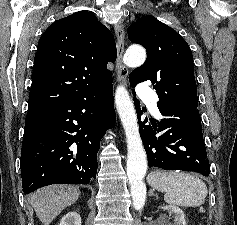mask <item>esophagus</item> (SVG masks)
<instances>
[{
  "instance_id": "34e87169",
  "label": "esophagus",
  "mask_w": 237,
  "mask_h": 225,
  "mask_svg": "<svg viewBox=\"0 0 237 225\" xmlns=\"http://www.w3.org/2000/svg\"><path fill=\"white\" fill-rule=\"evenodd\" d=\"M124 35V27L122 23H118L115 26V36L117 44L116 74L117 82L125 85L127 82L129 71L126 65L123 63Z\"/></svg>"
}]
</instances>
